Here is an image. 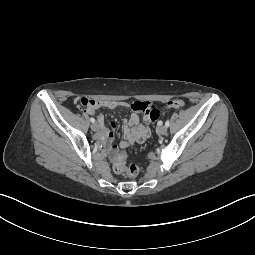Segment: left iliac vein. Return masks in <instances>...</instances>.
<instances>
[{
    "mask_svg": "<svg viewBox=\"0 0 255 255\" xmlns=\"http://www.w3.org/2000/svg\"><path fill=\"white\" fill-rule=\"evenodd\" d=\"M167 131H168V129H167V127L165 125L160 126L158 128V133L161 134V135H165L167 133Z\"/></svg>",
    "mask_w": 255,
    "mask_h": 255,
    "instance_id": "obj_1",
    "label": "left iliac vein"
}]
</instances>
